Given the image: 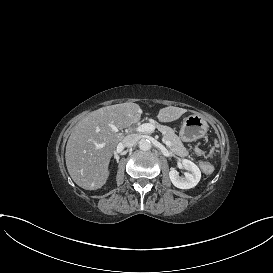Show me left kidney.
<instances>
[{
  "label": "left kidney",
  "mask_w": 273,
  "mask_h": 273,
  "mask_svg": "<svg viewBox=\"0 0 273 273\" xmlns=\"http://www.w3.org/2000/svg\"><path fill=\"white\" fill-rule=\"evenodd\" d=\"M182 166L187 170L185 176L181 177L176 170L169 171V178L172 184L179 189H191L195 187L201 179V171L192 161L183 159Z\"/></svg>",
  "instance_id": "5707ae66"
}]
</instances>
